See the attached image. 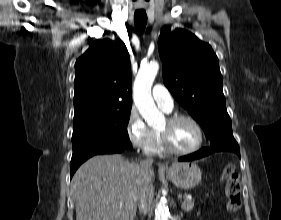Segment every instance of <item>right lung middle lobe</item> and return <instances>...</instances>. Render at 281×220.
I'll use <instances>...</instances> for the list:
<instances>
[{"label":"right lung middle lobe","instance_id":"1","mask_svg":"<svg viewBox=\"0 0 281 220\" xmlns=\"http://www.w3.org/2000/svg\"><path fill=\"white\" fill-rule=\"evenodd\" d=\"M129 118L130 110L74 118L73 153L86 148L108 146L130 148L132 144L127 132Z\"/></svg>","mask_w":281,"mask_h":220}]
</instances>
